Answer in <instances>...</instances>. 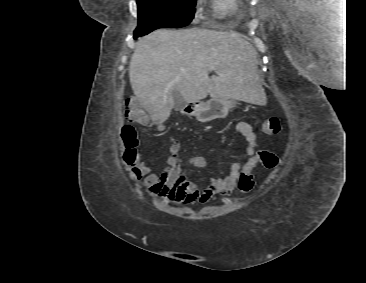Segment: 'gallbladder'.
<instances>
[{
	"label": "gallbladder",
	"mask_w": 366,
	"mask_h": 283,
	"mask_svg": "<svg viewBox=\"0 0 366 283\" xmlns=\"http://www.w3.org/2000/svg\"><path fill=\"white\" fill-rule=\"evenodd\" d=\"M172 95H173V98L175 101L174 109L180 110L183 107V105L185 104L183 97L177 90H173Z\"/></svg>",
	"instance_id": "bac80fb5"
}]
</instances>
